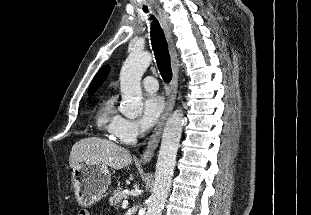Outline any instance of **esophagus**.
I'll use <instances>...</instances> for the list:
<instances>
[{
  "label": "esophagus",
  "mask_w": 311,
  "mask_h": 215,
  "mask_svg": "<svg viewBox=\"0 0 311 215\" xmlns=\"http://www.w3.org/2000/svg\"><path fill=\"white\" fill-rule=\"evenodd\" d=\"M157 11H158L161 23L164 27L168 45H169L173 76H172V80L170 84V92H169L165 111L148 141L147 149L144 155L140 159V163L142 164H146L151 160V158L153 157L155 153L156 148L158 147L165 122L174 108L175 101H176V95H177V88H178V70H177L178 54H177V51L174 45L172 24L169 21L168 14L163 9L158 8Z\"/></svg>",
  "instance_id": "obj_1"
}]
</instances>
